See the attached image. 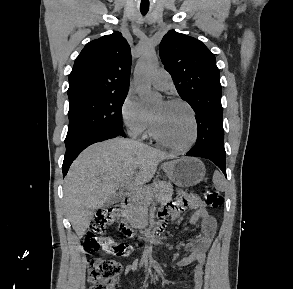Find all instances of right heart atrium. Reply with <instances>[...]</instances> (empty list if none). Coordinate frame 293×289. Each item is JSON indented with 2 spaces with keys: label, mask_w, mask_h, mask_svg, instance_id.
I'll list each match as a JSON object with an SVG mask.
<instances>
[{
  "label": "right heart atrium",
  "mask_w": 293,
  "mask_h": 289,
  "mask_svg": "<svg viewBox=\"0 0 293 289\" xmlns=\"http://www.w3.org/2000/svg\"><path fill=\"white\" fill-rule=\"evenodd\" d=\"M121 118L128 133L133 137L143 135L151 124V118L141 101L128 94L121 107Z\"/></svg>",
  "instance_id": "d8ad5b80"
}]
</instances>
